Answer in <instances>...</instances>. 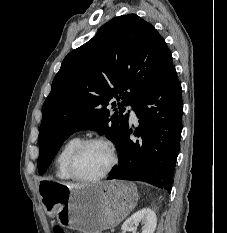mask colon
I'll use <instances>...</instances> for the list:
<instances>
[{
  "label": "colon",
  "instance_id": "1",
  "mask_svg": "<svg viewBox=\"0 0 227 233\" xmlns=\"http://www.w3.org/2000/svg\"><path fill=\"white\" fill-rule=\"evenodd\" d=\"M53 233H69V232L60 226H55L53 229Z\"/></svg>",
  "mask_w": 227,
  "mask_h": 233
}]
</instances>
